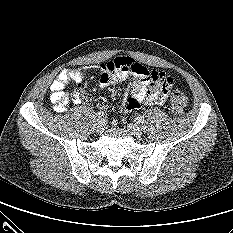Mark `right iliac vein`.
I'll return each mask as SVG.
<instances>
[{
  "label": "right iliac vein",
  "mask_w": 233,
  "mask_h": 233,
  "mask_svg": "<svg viewBox=\"0 0 233 233\" xmlns=\"http://www.w3.org/2000/svg\"><path fill=\"white\" fill-rule=\"evenodd\" d=\"M95 129H96V132L102 133L105 129V122L102 119L97 120L95 124Z\"/></svg>",
  "instance_id": "1"
}]
</instances>
